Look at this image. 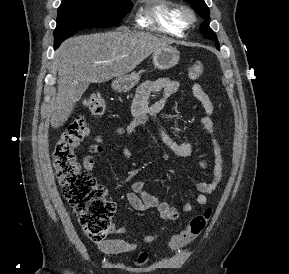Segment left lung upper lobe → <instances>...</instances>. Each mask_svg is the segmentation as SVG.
<instances>
[{
	"label": "left lung upper lobe",
	"instance_id": "5c2ea615",
	"mask_svg": "<svg viewBox=\"0 0 289 274\" xmlns=\"http://www.w3.org/2000/svg\"><path fill=\"white\" fill-rule=\"evenodd\" d=\"M190 3L191 7L203 18L205 21L200 26V31L202 35L210 40L216 42L215 46L219 49V42L217 40L216 34L209 27L210 22V11L204 0H184Z\"/></svg>",
	"mask_w": 289,
	"mask_h": 274
}]
</instances>
